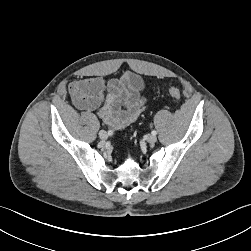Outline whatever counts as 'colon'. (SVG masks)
<instances>
[{
	"instance_id": "obj_1",
	"label": "colon",
	"mask_w": 251,
	"mask_h": 251,
	"mask_svg": "<svg viewBox=\"0 0 251 251\" xmlns=\"http://www.w3.org/2000/svg\"><path fill=\"white\" fill-rule=\"evenodd\" d=\"M168 93H169V95H170L172 98H174L175 100H180V98H181V92H180V90H179L178 88H176V87H170V88L168 89Z\"/></svg>"
}]
</instances>
